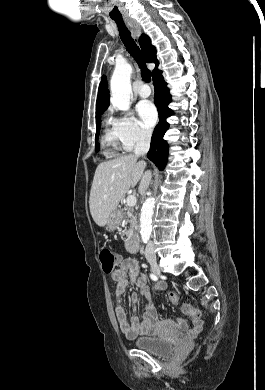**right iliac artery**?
Instances as JSON below:
<instances>
[{
	"instance_id": "82829eb1",
	"label": "right iliac artery",
	"mask_w": 265,
	"mask_h": 390,
	"mask_svg": "<svg viewBox=\"0 0 265 390\" xmlns=\"http://www.w3.org/2000/svg\"><path fill=\"white\" fill-rule=\"evenodd\" d=\"M150 278H151L153 281H157V280H158L157 276L154 275V274H150Z\"/></svg>"
}]
</instances>
